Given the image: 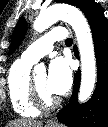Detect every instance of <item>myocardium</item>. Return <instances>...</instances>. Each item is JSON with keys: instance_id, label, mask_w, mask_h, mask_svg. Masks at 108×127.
Wrapping results in <instances>:
<instances>
[{"instance_id": "1", "label": "myocardium", "mask_w": 108, "mask_h": 127, "mask_svg": "<svg viewBox=\"0 0 108 127\" xmlns=\"http://www.w3.org/2000/svg\"><path fill=\"white\" fill-rule=\"evenodd\" d=\"M31 98L34 106L40 111H49L55 108L59 100L47 98L39 89L34 79H30Z\"/></svg>"}]
</instances>
